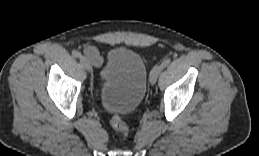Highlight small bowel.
<instances>
[{"mask_svg": "<svg viewBox=\"0 0 259 156\" xmlns=\"http://www.w3.org/2000/svg\"><path fill=\"white\" fill-rule=\"evenodd\" d=\"M87 60L94 66H101L104 62L103 57L99 54L94 46H87L84 49Z\"/></svg>", "mask_w": 259, "mask_h": 156, "instance_id": "1", "label": "small bowel"}]
</instances>
